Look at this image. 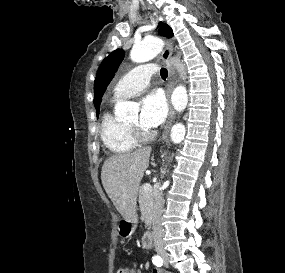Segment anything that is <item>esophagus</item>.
Returning <instances> with one entry per match:
<instances>
[{"label": "esophagus", "instance_id": "esophagus-1", "mask_svg": "<svg viewBox=\"0 0 285 273\" xmlns=\"http://www.w3.org/2000/svg\"><path fill=\"white\" fill-rule=\"evenodd\" d=\"M172 53H173V48H172V44L170 41H166L165 43V46L162 50V53H161V58L164 62V64L166 65L168 71H169V83H168V86H167V96H168V99H170V93H171V90L172 88L174 87V84L176 82L175 80V77H176V71H175V68L172 66L171 64V57H172ZM169 117H168V122H167V126H166V131L165 133L163 134V137H162V141H165L167 139V136H168V132H169V129H170V126L175 118V112L173 111V108L171 106V104L169 105Z\"/></svg>", "mask_w": 285, "mask_h": 273}]
</instances>
